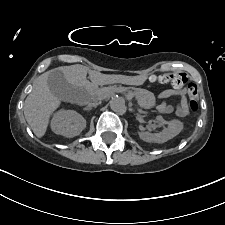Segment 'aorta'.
Wrapping results in <instances>:
<instances>
[{
  "mask_svg": "<svg viewBox=\"0 0 225 225\" xmlns=\"http://www.w3.org/2000/svg\"><path fill=\"white\" fill-rule=\"evenodd\" d=\"M110 107L112 111L118 114H124L126 112L125 100L122 97H114L110 101Z\"/></svg>",
  "mask_w": 225,
  "mask_h": 225,
  "instance_id": "obj_1",
  "label": "aorta"
}]
</instances>
